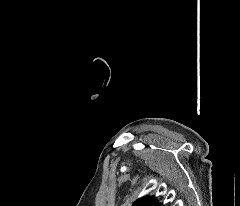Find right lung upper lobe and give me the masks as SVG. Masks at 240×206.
Returning a JSON list of instances; mask_svg holds the SVG:
<instances>
[{"mask_svg": "<svg viewBox=\"0 0 240 206\" xmlns=\"http://www.w3.org/2000/svg\"><path fill=\"white\" fill-rule=\"evenodd\" d=\"M132 206H163L157 203L155 197H145L137 200Z\"/></svg>", "mask_w": 240, "mask_h": 206, "instance_id": "obj_1", "label": "right lung upper lobe"}]
</instances>
